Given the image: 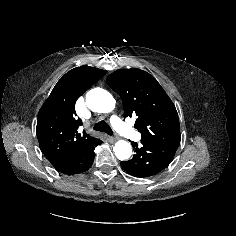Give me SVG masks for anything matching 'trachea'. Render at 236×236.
<instances>
[{
	"mask_svg": "<svg viewBox=\"0 0 236 236\" xmlns=\"http://www.w3.org/2000/svg\"><path fill=\"white\" fill-rule=\"evenodd\" d=\"M95 131L105 132L108 135H113V132L110 128V126L105 121H99L96 123V125L93 127Z\"/></svg>",
	"mask_w": 236,
	"mask_h": 236,
	"instance_id": "1",
	"label": "trachea"
}]
</instances>
